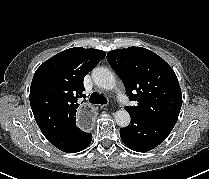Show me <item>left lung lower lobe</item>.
Wrapping results in <instances>:
<instances>
[{
    "label": "left lung lower lobe",
    "mask_w": 209,
    "mask_h": 179,
    "mask_svg": "<svg viewBox=\"0 0 209 179\" xmlns=\"http://www.w3.org/2000/svg\"><path fill=\"white\" fill-rule=\"evenodd\" d=\"M130 125L120 129L123 143L133 151L146 152L162 143L172 131V125L129 113Z\"/></svg>",
    "instance_id": "left-lung-lower-lobe-1"
}]
</instances>
